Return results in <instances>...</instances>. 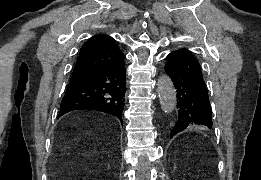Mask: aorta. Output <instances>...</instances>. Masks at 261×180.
Listing matches in <instances>:
<instances>
[{
    "label": "aorta",
    "instance_id": "obj_1",
    "mask_svg": "<svg viewBox=\"0 0 261 180\" xmlns=\"http://www.w3.org/2000/svg\"><path fill=\"white\" fill-rule=\"evenodd\" d=\"M157 86L161 109L169 114L175 109L177 104L174 84L169 76L162 75L158 79Z\"/></svg>",
    "mask_w": 261,
    "mask_h": 180
}]
</instances>
